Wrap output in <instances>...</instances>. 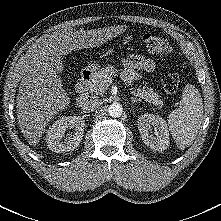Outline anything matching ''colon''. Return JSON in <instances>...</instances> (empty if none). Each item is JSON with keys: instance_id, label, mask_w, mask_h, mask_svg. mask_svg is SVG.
<instances>
[{"instance_id": "colon-1", "label": "colon", "mask_w": 221, "mask_h": 221, "mask_svg": "<svg viewBox=\"0 0 221 221\" xmlns=\"http://www.w3.org/2000/svg\"><path fill=\"white\" fill-rule=\"evenodd\" d=\"M142 42L146 50L152 54L168 56L172 50L169 42L157 35L145 34ZM162 85L166 92H176L179 86V76L175 73L165 74L162 78Z\"/></svg>"}]
</instances>
